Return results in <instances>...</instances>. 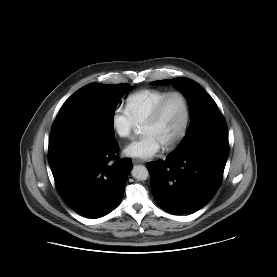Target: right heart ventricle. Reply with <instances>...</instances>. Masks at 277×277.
<instances>
[{
	"mask_svg": "<svg viewBox=\"0 0 277 277\" xmlns=\"http://www.w3.org/2000/svg\"><path fill=\"white\" fill-rule=\"evenodd\" d=\"M168 93L170 91L159 89L140 90L127 98L126 109L134 121L142 125Z\"/></svg>",
	"mask_w": 277,
	"mask_h": 277,
	"instance_id": "obj_1",
	"label": "right heart ventricle"
}]
</instances>
